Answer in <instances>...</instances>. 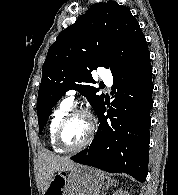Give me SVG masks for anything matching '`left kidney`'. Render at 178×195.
<instances>
[{"label": "left kidney", "instance_id": "obj_1", "mask_svg": "<svg viewBox=\"0 0 178 195\" xmlns=\"http://www.w3.org/2000/svg\"><path fill=\"white\" fill-rule=\"evenodd\" d=\"M112 195H129L128 192L123 191V190H117L116 192H114Z\"/></svg>", "mask_w": 178, "mask_h": 195}]
</instances>
